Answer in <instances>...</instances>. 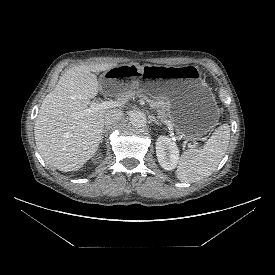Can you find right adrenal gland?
I'll return each instance as SVG.
<instances>
[{"mask_svg": "<svg viewBox=\"0 0 275 275\" xmlns=\"http://www.w3.org/2000/svg\"><path fill=\"white\" fill-rule=\"evenodd\" d=\"M110 130V127H105L103 130V135L107 136V132ZM103 138V136H102Z\"/></svg>", "mask_w": 275, "mask_h": 275, "instance_id": "right-adrenal-gland-1", "label": "right adrenal gland"}]
</instances>
